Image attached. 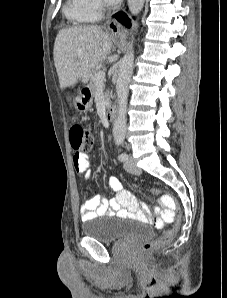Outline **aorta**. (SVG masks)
Masks as SVG:
<instances>
[{
    "label": "aorta",
    "mask_w": 227,
    "mask_h": 298,
    "mask_svg": "<svg viewBox=\"0 0 227 298\" xmlns=\"http://www.w3.org/2000/svg\"><path fill=\"white\" fill-rule=\"evenodd\" d=\"M145 0H128L129 11L132 15H138L143 8ZM134 52L130 48L119 62V71L116 82L117 117L113 126L115 140H123L126 133V114L129 93V82L133 73Z\"/></svg>",
    "instance_id": "obj_1"
}]
</instances>
